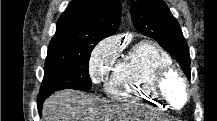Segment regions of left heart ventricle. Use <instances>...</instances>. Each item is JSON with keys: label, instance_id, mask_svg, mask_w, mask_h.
Returning a JSON list of instances; mask_svg holds the SVG:
<instances>
[{"label": "left heart ventricle", "instance_id": "1", "mask_svg": "<svg viewBox=\"0 0 217 121\" xmlns=\"http://www.w3.org/2000/svg\"><path fill=\"white\" fill-rule=\"evenodd\" d=\"M167 93L179 104L183 99V89L180 82L176 79L171 80L167 85Z\"/></svg>", "mask_w": 217, "mask_h": 121}]
</instances>
